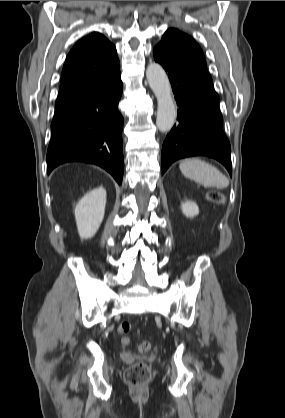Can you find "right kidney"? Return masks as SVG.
Here are the masks:
<instances>
[{
  "label": "right kidney",
  "mask_w": 285,
  "mask_h": 418,
  "mask_svg": "<svg viewBox=\"0 0 285 418\" xmlns=\"http://www.w3.org/2000/svg\"><path fill=\"white\" fill-rule=\"evenodd\" d=\"M106 190L98 187L87 193L75 208V220L79 236L92 238L99 229L105 214Z\"/></svg>",
  "instance_id": "ca27d5eb"
}]
</instances>
